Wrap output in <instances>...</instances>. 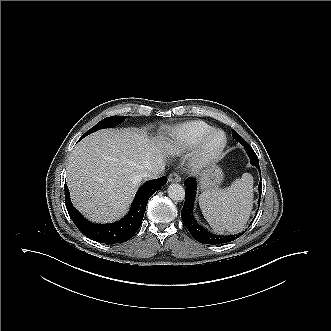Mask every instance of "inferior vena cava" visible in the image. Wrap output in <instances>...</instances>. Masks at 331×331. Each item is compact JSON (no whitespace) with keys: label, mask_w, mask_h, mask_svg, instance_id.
Masks as SVG:
<instances>
[{"label":"inferior vena cava","mask_w":331,"mask_h":331,"mask_svg":"<svg viewBox=\"0 0 331 331\" xmlns=\"http://www.w3.org/2000/svg\"><path fill=\"white\" fill-rule=\"evenodd\" d=\"M164 171V166H158L156 168L149 169L142 174V179L152 180L159 178Z\"/></svg>","instance_id":"inferior-vena-cava-1"}]
</instances>
